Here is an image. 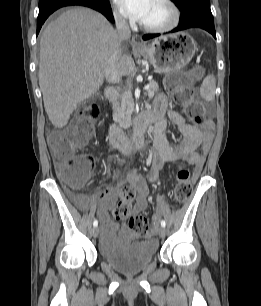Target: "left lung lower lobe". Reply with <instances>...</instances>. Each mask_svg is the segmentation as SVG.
I'll list each match as a JSON object with an SVG mask.
<instances>
[{
    "instance_id": "0a47b994",
    "label": "left lung lower lobe",
    "mask_w": 261,
    "mask_h": 306,
    "mask_svg": "<svg viewBox=\"0 0 261 306\" xmlns=\"http://www.w3.org/2000/svg\"><path fill=\"white\" fill-rule=\"evenodd\" d=\"M188 28H202L216 38L213 15L208 8L194 6L181 11L179 25L171 32H177ZM158 36H160V34H147L143 36V39L149 40Z\"/></svg>"
}]
</instances>
